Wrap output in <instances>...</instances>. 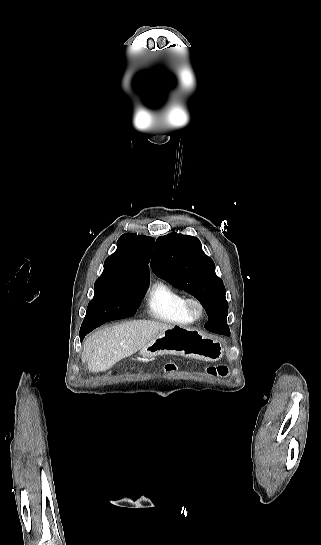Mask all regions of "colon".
<instances>
[{"mask_svg":"<svg viewBox=\"0 0 321 545\" xmlns=\"http://www.w3.org/2000/svg\"><path fill=\"white\" fill-rule=\"evenodd\" d=\"M165 371H173L176 369L175 364L168 363L164 366ZM206 372L213 377H226L229 369L224 364L212 365L207 367Z\"/></svg>","mask_w":321,"mask_h":545,"instance_id":"obj_1","label":"colon"}]
</instances>
